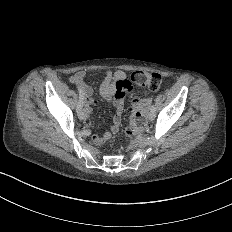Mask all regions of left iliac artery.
Instances as JSON below:
<instances>
[{
  "instance_id": "left-iliac-artery-1",
  "label": "left iliac artery",
  "mask_w": 232,
  "mask_h": 232,
  "mask_svg": "<svg viewBox=\"0 0 232 232\" xmlns=\"http://www.w3.org/2000/svg\"><path fill=\"white\" fill-rule=\"evenodd\" d=\"M151 112H152V113H155V112H156V107H155L154 104L152 105Z\"/></svg>"
}]
</instances>
